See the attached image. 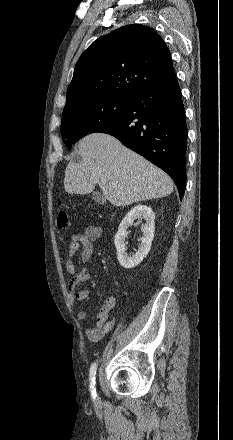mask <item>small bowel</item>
<instances>
[{
    "label": "small bowel",
    "mask_w": 233,
    "mask_h": 440,
    "mask_svg": "<svg viewBox=\"0 0 233 440\" xmlns=\"http://www.w3.org/2000/svg\"><path fill=\"white\" fill-rule=\"evenodd\" d=\"M101 236V229L95 225H88L84 229L75 233L70 238V244L67 251L66 269L71 276L68 283L69 298L71 303L75 301L82 302L88 297V290L82 288V284L85 281L91 280L93 275L87 267H83L81 270H77L75 265V257L80 247L81 259L86 262L90 259L94 252V242ZM116 305V299L114 297H108L100 312L98 313L95 321V325L92 328L86 329V336L92 341H97L109 333L115 324V319L109 320V315ZM79 318L81 320H88L89 315L85 311L79 312Z\"/></svg>",
    "instance_id": "obj_1"
}]
</instances>
